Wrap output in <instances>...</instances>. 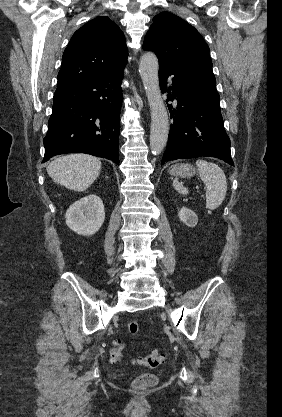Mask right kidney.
<instances>
[{"label":"right kidney","instance_id":"obj_1","mask_svg":"<svg viewBox=\"0 0 282 417\" xmlns=\"http://www.w3.org/2000/svg\"><path fill=\"white\" fill-rule=\"evenodd\" d=\"M66 225L77 235H95L105 221V209L102 198L97 194H88L70 204L65 215Z\"/></svg>","mask_w":282,"mask_h":417}]
</instances>
